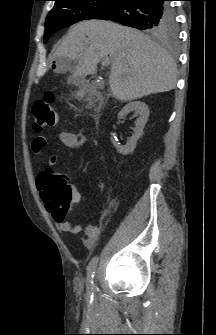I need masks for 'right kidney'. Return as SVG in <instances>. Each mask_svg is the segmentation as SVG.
I'll list each match as a JSON object with an SVG mask.
<instances>
[{
  "label": "right kidney",
  "instance_id": "right-kidney-1",
  "mask_svg": "<svg viewBox=\"0 0 216 335\" xmlns=\"http://www.w3.org/2000/svg\"><path fill=\"white\" fill-rule=\"evenodd\" d=\"M132 111L135 112V115H139V118L135 121L134 134L129 139L128 143L125 146H120L117 145L113 139H111L112 144L117 149V152L123 155L132 153L135 149L138 139L143 134V128L145 127L150 113L148 106L144 102L135 101L123 107V109L119 112L118 117H123Z\"/></svg>",
  "mask_w": 216,
  "mask_h": 335
}]
</instances>
